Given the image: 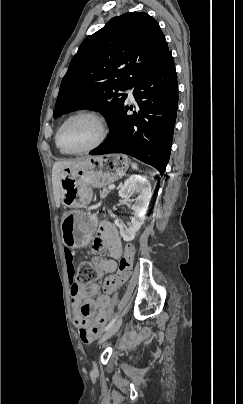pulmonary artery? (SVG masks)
Segmentation results:
<instances>
[{
  "label": "pulmonary artery",
  "mask_w": 243,
  "mask_h": 404,
  "mask_svg": "<svg viewBox=\"0 0 243 404\" xmlns=\"http://www.w3.org/2000/svg\"><path fill=\"white\" fill-rule=\"evenodd\" d=\"M134 87H128L126 88L123 93L127 95L128 100H130L131 102H134Z\"/></svg>",
  "instance_id": "obj_1"
}]
</instances>
